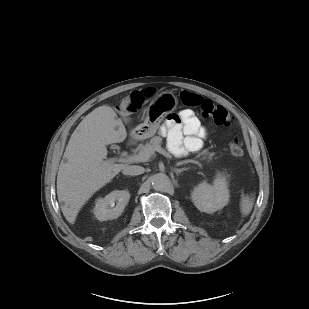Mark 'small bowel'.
<instances>
[{
  "mask_svg": "<svg viewBox=\"0 0 309 309\" xmlns=\"http://www.w3.org/2000/svg\"><path fill=\"white\" fill-rule=\"evenodd\" d=\"M168 146L178 155L198 152L206 137V129L190 109L171 116L165 124Z\"/></svg>",
  "mask_w": 309,
  "mask_h": 309,
  "instance_id": "obj_1",
  "label": "small bowel"
}]
</instances>
